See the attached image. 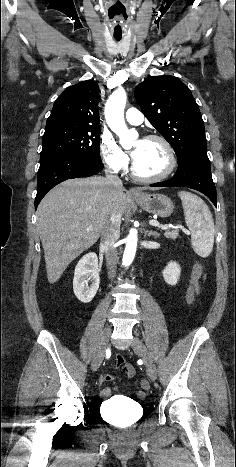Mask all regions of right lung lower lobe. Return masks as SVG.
Returning a JSON list of instances; mask_svg holds the SVG:
<instances>
[{
  "mask_svg": "<svg viewBox=\"0 0 236 467\" xmlns=\"http://www.w3.org/2000/svg\"><path fill=\"white\" fill-rule=\"evenodd\" d=\"M103 169L95 162L73 154H57L41 160L38 170L35 208L47 192L57 184L71 178L89 177Z\"/></svg>",
  "mask_w": 236,
  "mask_h": 467,
  "instance_id": "98d812e1",
  "label": "right lung lower lobe"
}]
</instances>
